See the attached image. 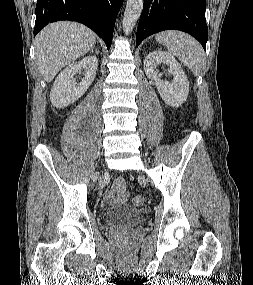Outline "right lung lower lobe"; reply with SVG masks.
I'll return each instance as SVG.
<instances>
[{
	"instance_id": "right-lung-lower-lobe-1",
	"label": "right lung lower lobe",
	"mask_w": 253,
	"mask_h": 285,
	"mask_svg": "<svg viewBox=\"0 0 253 285\" xmlns=\"http://www.w3.org/2000/svg\"><path fill=\"white\" fill-rule=\"evenodd\" d=\"M122 3L123 0H38L34 36L50 22L77 21L91 28L109 49Z\"/></svg>"
}]
</instances>
